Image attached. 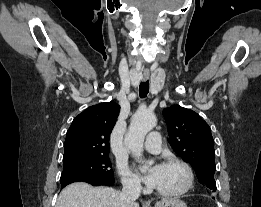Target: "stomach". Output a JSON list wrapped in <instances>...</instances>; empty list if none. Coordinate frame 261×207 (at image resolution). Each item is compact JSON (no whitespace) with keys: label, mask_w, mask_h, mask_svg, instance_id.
Wrapping results in <instances>:
<instances>
[{"label":"stomach","mask_w":261,"mask_h":207,"mask_svg":"<svg viewBox=\"0 0 261 207\" xmlns=\"http://www.w3.org/2000/svg\"><path fill=\"white\" fill-rule=\"evenodd\" d=\"M155 207H187L186 204L177 198H164L155 204Z\"/></svg>","instance_id":"obj_1"}]
</instances>
